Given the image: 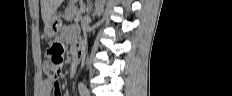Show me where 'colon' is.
<instances>
[{"mask_svg":"<svg viewBox=\"0 0 232 96\" xmlns=\"http://www.w3.org/2000/svg\"><path fill=\"white\" fill-rule=\"evenodd\" d=\"M63 47L59 44H53L48 50L47 55L51 60V66L49 68V73L52 76L57 77L62 69L64 59H63Z\"/></svg>","mask_w":232,"mask_h":96,"instance_id":"1","label":"colon"}]
</instances>
